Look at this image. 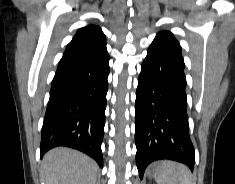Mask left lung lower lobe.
<instances>
[{"mask_svg":"<svg viewBox=\"0 0 235 184\" xmlns=\"http://www.w3.org/2000/svg\"><path fill=\"white\" fill-rule=\"evenodd\" d=\"M184 68L178 41L168 35L155 37L142 63L136 92V164L141 179L155 160H174L194 168Z\"/></svg>","mask_w":235,"mask_h":184,"instance_id":"left-lung-lower-lobe-1","label":"left lung lower lobe"}]
</instances>
